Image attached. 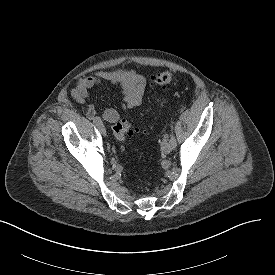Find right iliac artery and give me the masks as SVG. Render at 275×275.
Wrapping results in <instances>:
<instances>
[{
    "label": "right iliac artery",
    "instance_id": "right-iliac-artery-1",
    "mask_svg": "<svg viewBox=\"0 0 275 275\" xmlns=\"http://www.w3.org/2000/svg\"><path fill=\"white\" fill-rule=\"evenodd\" d=\"M93 123H94L95 125H98L99 123H101L100 117H94V118H93Z\"/></svg>",
    "mask_w": 275,
    "mask_h": 275
}]
</instances>
